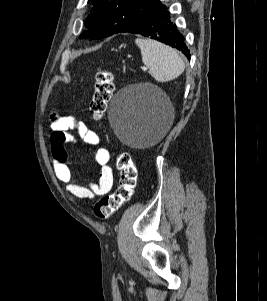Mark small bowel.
Here are the masks:
<instances>
[{"label":"small bowel","instance_id":"c3829d8e","mask_svg":"<svg viewBox=\"0 0 267 301\" xmlns=\"http://www.w3.org/2000/svg\"><path fill=\"white\" fill-rule=\"evenodd\" d=\"M52 164L57 178L66 185L72 198L94 199L107 194L113 186V170L110 166V152L101 146L100 136L75 116L54 117L50 126ZM76 130L79 139L90 147L95 162L100 166L97 182L85 183L73 177L68 164L66 143H76L73 134Z\"/></svg>","mask_w":267,"mask_h":301}]
</instances>
